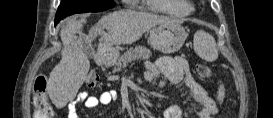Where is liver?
Masks as SVG:
<instances>
[{"mask_svg": "<svg viewBox=\"0 0 273 118\" xmlns=\"http://www.w3.org/2000/svg\"><path fill=\"white\" fill-rule=\"evenodd\" d=\"M84 23L85 18L70 19L60 31L63 43L61 60L50 73L47 82V92L57 108L74 100L87 77L90 62L83 51L84 44L90 45L97 35H101V48L132 44L156 25L180 24L181 21L148 12L119 10L103 16L89 30L88 35L82 32ZM104 29L108 31L107 34L102 33Z\"/></svg>", "mask_w": 273, "mask_h": 118, "instance_id": "liver-1", "label": "liver"}]
</instances>
